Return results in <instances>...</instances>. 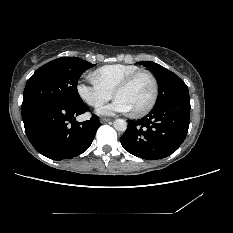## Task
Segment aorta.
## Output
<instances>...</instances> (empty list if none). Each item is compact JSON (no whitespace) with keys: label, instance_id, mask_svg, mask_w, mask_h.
Instances as JSON below:
<instances>
[{"label":"aorta","instance_id":"1","mask_svg":"<svg viewBox=\"0 0 233 233\" xmlns=\"http://www.w3.org/2000/svg\"><path fill=\"white\" fill-rule=\"evenodd\" d=\"M113 126L117 131L124 132L127 129V122L123 119H116Z\"/></svg>","mask_w":233,"mask_h":233}]
</instances>
